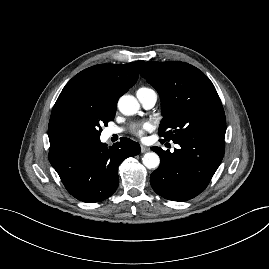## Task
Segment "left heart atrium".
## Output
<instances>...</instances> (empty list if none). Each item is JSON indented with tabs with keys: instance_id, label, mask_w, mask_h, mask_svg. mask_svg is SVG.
<instances>
[{
	"instance_id": "1",
	"label": "left heart atrium",
	"mask_w": 269,
	"mask_h": 269,
	"mask_svg": "<svg viewBox=\"0 0 269 269\" xmlns=\"http://www.w3.org/2000/svg\"><path fill=\"white\" fill-rule=\"evenodd\" d=\"M154 128V125L152 122H149V121H146V122H142V123H139L137 125L134 126L133 128V132L139 136V137H142L145 132L147 131H150Z\"/></svg>"
}]
</instances>
